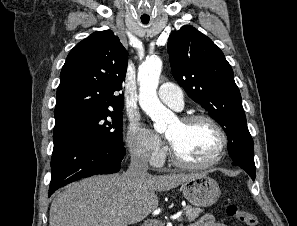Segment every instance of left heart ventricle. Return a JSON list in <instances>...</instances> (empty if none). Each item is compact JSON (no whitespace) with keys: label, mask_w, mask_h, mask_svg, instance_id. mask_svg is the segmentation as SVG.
<instances>
[{"label":"left heart ventricle","mask_w":297,"mask_h":226,"mask_svg":"<svg viewBox=\"0 0 297 226\" xmlns=\"http://www.w3.org/2000/svg\"><path fill=\"white\" fill-rule=\"evenodd\" d=\"M177 154L190 163H206L215 155L220 145V137L207 122L197 121L183 124L173 122L165 131Z\"/></svg>","instance_id":"obj_1"}]
</instances>
